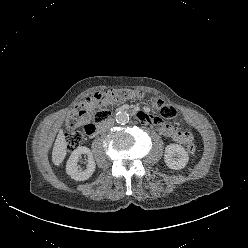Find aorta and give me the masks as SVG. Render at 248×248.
Instances as JSON below:
<instances>
[{"instance_id":"aorta-1","label":"aorta","mask_w":248,"mask_h":248,"mask_svg":"<svg viewBox=\"0 0 248 248\" xmlns=\"http://www.w3.org/2000/svg\"><path fill=\"white\" fill-rule=\"evenodd\" d=\"M115 119L117 123L124 125L128 123L129 115L127 112L121 111L116 114Z\"/></svg>"}]
</instances>
